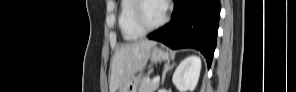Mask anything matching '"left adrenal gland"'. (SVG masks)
<instances>
[{"mask_svg": "<svg viewBox=\"0 0 296 92\" xmlns=\"http://www.w3.org/2000/svg\"><path fill=\"white\" fill-rule=\"evenodd\" d=\"M174 65H175V63H173V64L170 65L169 62L164 65V70H163V74H162V82H161L162 85H164L166 73L169 70L173 69Z\"/></svg>", "mask_w": 296, "mask_h": 92, "instance_id": "left-adrenal-gland-1", "label": "left adrenal gland"}]
</instances>
